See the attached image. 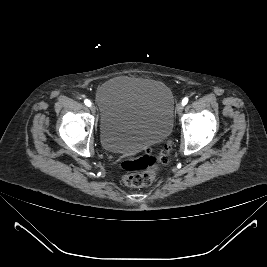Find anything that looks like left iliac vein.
Instances as JSON below:
<instances>
[{
    "instance_id": "left-iliac-vein-1",
    "label": "left iliac vein",
    "mask_w": 267,
    "mask_h": 267,
    "mask_svg": "<svg viewBox=\"0 0 267 267\" xmlns=\"http://www.w3.org/2000/svg\"><path fill=\"white\" fill-rule=\"evenodd\" d=\"M183 107H184V105L182 103H178L176 105V113L180 115L183 111Z\"/></svg>"
}]
</instances>
